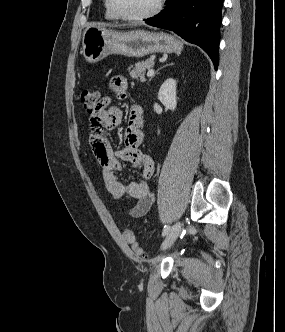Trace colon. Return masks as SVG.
Listing matches in <instances>:
<instances>
[{
  "label": "colon",
  "mask_w": 285,
  "mask_h": 332,
  "mask_svg": "<svg viewBox=\"0 0 285 332\" xmlns=\"http://www.w3.org/2000/svg\"><path fill=\"white\" fill-rule=\"evenodd\" d=\"M101 96L97 90L87 89L81 92L79 100L86 113L90 115L92 107H95V103H98V97ZM123 237L125 241L134 249L138 255H142L143 252L136 242V237L131 229L123 230Z\"/></svg>",
  "instance_id": "1"
}]
</instances>
